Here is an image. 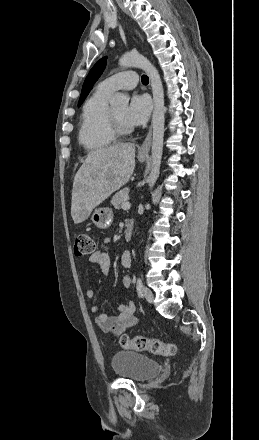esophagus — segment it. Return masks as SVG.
<instances>
[{
    "label": "esophagus",
    "mask_w": 259,
    "mask_h": 440,
    "mask_svg": "<svg viewBox=\"0 0 259 440\" xmlns=\"http://www.w3.org/2000/svg\"><path fill=\"white\" fill-rule=\"evenodd\" d=\"M151 141H152V128L150 127L144 142L139 147V154L146 155L149 153L151 147Z\"/></svg>",
    "instance_id": "34e87169"
}]
</instances>
